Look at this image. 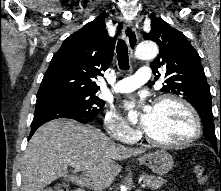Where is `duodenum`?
Masks as SVG:
<instances>
[{
  "label": "duodenum",
  "instance_id": "1",
  "mask_svg": "<svg viewBox=\"0 0 221 191\" xmlns=\"http://www.w3.org/2000/svg\"><path fill=\"white\" fill-rule=\"evenodd\" d=\"M75 191H84L82 188H77Z\"/></svg>",
  "mask_w": 221,
  "mask_h": 191
}]
</instances>
